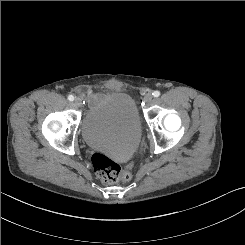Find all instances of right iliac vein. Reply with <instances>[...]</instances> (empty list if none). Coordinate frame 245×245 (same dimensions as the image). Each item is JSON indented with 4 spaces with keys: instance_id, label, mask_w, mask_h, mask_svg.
<instances>
[{
    "instance_id": "right-iliac-vein-1",
    "label": "right iliac vein",
    "mask_w": 245,
    "mask_h": 245,
    "mask_svg": "<svg viewBox=\"0 0 245 245\" xmlns=\"http://www.w3.org/2000/svg\"><path fill=\"white\" fill-rule=\"evenodd\" d=\"M74 104H75L76 106H80V105H81V100H80L79 98H75V99H74Z\"/></svg>"
}]
</instances>
